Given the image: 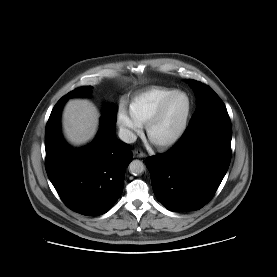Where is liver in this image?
Segmentation results:
<instances>
[{
	"label": "liver",
	"mask_w": 277,
	"mask_h": 277,
	"mask_svg": "<svg viewBox=\"0 0 277 277\" xmlns=\"http://www.w3.org/2000/svg\"><path fill=\"white\" fill-rule=\"evenodd\" d=\"M99 112L86 99L70 100L63 113V128L66 138L74 145H83L95 136Z\"/></svg>",
	"instance_id": "liver-1"
}]
</instances>
